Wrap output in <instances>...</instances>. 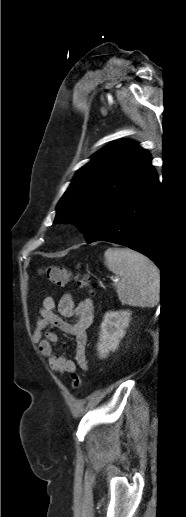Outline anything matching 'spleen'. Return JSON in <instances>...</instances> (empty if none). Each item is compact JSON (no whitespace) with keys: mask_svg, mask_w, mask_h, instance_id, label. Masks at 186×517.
<instances>
[{"mask_svg":"<svg viewBox=\"0 0 186 517\" xmlns=\"http://www.w3.org/2000/svg\"><path fill=\"white\" fill-rule=\"evenodd\" d=\"M105 265L121 277L117 293L123 304L153 307L160 299V271L144 255L126 248H109Z\"/></svg>","mask_w":186,"mask_h":517,"instance_id":"obj_1","label":"spleen"}]
</instances>
